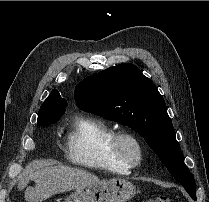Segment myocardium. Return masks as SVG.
<instances>
[{
    "label": "myocardium",
    "instance_id": "f54148a6",
    "mask_svg": "<svg viewBox=\"0 0 209 202\" xmlns=\"http://www.w3.org/2000/svg\"><path fill=\"white\" fill-rule=\"evenodd\" d=\"M110 150L114 158L131 167L139 165L143 159V145L132 131H116L112 137Z\"/></svg>",
    "mask_w": 209,
    "mask_h": 202
}]
</instances>
